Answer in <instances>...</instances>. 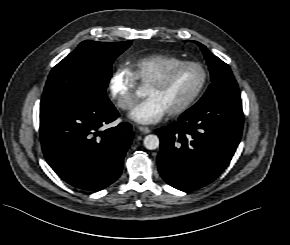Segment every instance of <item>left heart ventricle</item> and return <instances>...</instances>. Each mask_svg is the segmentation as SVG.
Listing matches in <instances>:
<instances>
[{"label": "left heart ventricle", "mask_w": 290, "mask_h": 245, "mask_svg": "<svg viewBox=\"0 0 290 245\" xmlns=\"http://www.w3.org/2000/svg\"><path fill=\"white\" fill-rule=\"evenodd\" d=\"M202 78L199 68L184 67L173 72L163 85L146 86L144 95L156 98L168 112L185 103L198 89Z\"/></svg>", "instance_id": "left-heart-ventricle-1"}]
</instances>
